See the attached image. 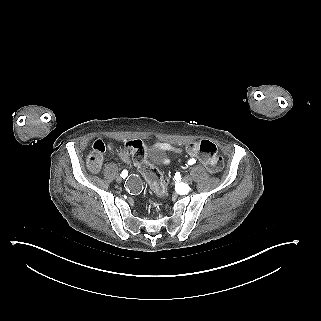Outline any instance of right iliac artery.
I'll return each instance as SVG.
<instances>
[{"instance_id":"1","label":"right iliac artery","mask_w":321,"mask_h":321,"mask_svg":"<svg viewBox=\"0 0 321 321\" xmlns=\"http://www.w3.org/2000/svg\"><path fill=\"white\" fill-rule=\"evenodd\" d=\"M127 175H128L127 170H123L122 173L120 174V176H121L123 179H125V178L127 177Z\"/></svg>"}]
</instances>
